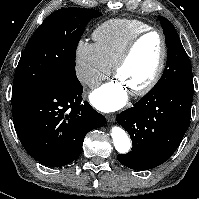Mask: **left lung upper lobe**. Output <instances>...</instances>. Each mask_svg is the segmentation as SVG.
<instances>
[{"mask_svg": "<svg viewBox=\"0 0 199 199\" xmlns=\"http://www.w3.org/2000/svg\"><path fill=\"white\" fill-rule=\"evenodd\" d=\"M164 30L167 50V65L163 76L150 91L162 92L178 85H193L192 67L180 38L173 24L166 18L159 16Z\"/></svg>", "mask_w": 199, "mask_h": 199, "instance_id": "5c2ea615", "label": "left lung upper lobe"}]
</instances>
